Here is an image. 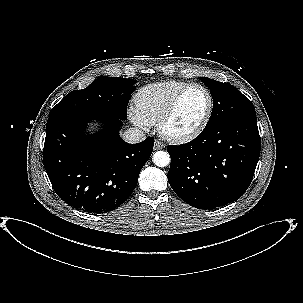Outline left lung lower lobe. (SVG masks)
<instances>
[{"instance_id": "left-lung-lower-lobe-1", "label": "left lung lower lobe", "mask_w": 303, "mask_h": 303, "mask_svg": "<svg viewBox=\"0 0 303 303\" xmlns=\"http://www.w3.org/2000/svg\"><path fill=\"white\" fill-rule=\"evenodd\" d=\"M256 114L206 126L189 143L168 146V181L174 192L198 209L238 200L248 189L260 155Z\"/></svg>"}]
</instances>
